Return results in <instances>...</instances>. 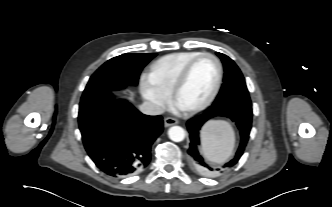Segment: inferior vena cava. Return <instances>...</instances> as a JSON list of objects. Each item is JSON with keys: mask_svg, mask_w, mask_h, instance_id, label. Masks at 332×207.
Listing matches in <instances>:
<instances>
[{"mask_svg": "<svg viewBox=\"0 0 332 207\" xmlns=\"http://www.w3.org/2000/svg\"><path fill=\"white\" fill-rule=\"evenodd\" d=\"M140 111L146 115H160L164 113V109L151 102H144L140 105Z\"/></svg>", "mask_w": 332, "mask_h": 207, "instance_id": "obj_1", "label": "inferior vena cava"}]
</instances>
